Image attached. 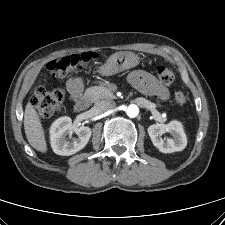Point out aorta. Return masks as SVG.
Wrapping results in <instances>:
<instances>
[{"instance_id": "aorta-1", "label": "aorta", "mask_w": 225, "mask_h": 225, "mask_svg": "<svg viewBox=\"0 0 225 225\" xmlns=\"http://www.w3.org/2000/svg\"><path fill=\"white\" fill-rule=\"evenodd\" d=\"M126 113L130 118H135L139 114V108L135 104H130L127 107Z\"/></svg>"}]
</instances>
